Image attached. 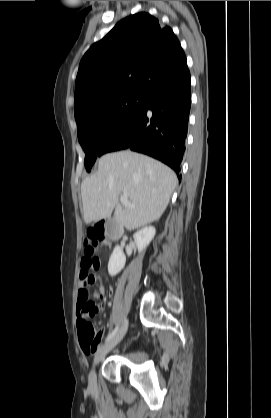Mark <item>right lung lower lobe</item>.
I'll use <instances>...</instances> for the list:
<instances>
[{"label": "right lung lower lobe", "mask_w": 271, "mask_h": 418, "mask_svg": "<svg viewBox=\"0 0 271 418\" xmlns=\"http://www.w3.org/2000/svg\"><path fill=\"white\" fill-rule=\"evenodd\" d=\"M190 106V72L185 62L135 114L106 137L98 156L131 149L169 165L180 180L178 170L185 151Z\"/></svg>", "instance_id": "1"}]
</instances>
